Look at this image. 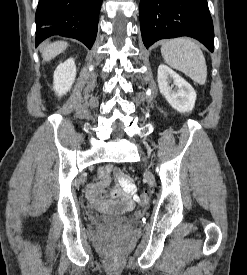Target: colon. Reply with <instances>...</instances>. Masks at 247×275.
I'll return each instance as SVG.
<instances>
[{"instance_id": "5ec220e1", "label": "colon", "mask_w": 247, "mask_h": 275, "mask_svg": "<svg viewBox=\"0 0 247 275\" xmlns=\"http://www.w3.org/2000/svg\"><path fill=\"white\" fill-rule=\"evenodd\" d=\"M136 201L140 206H145L149 201L148 191L147 190L142 191V193L137 196Z\"/></svg>"}]
</instances>
